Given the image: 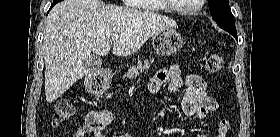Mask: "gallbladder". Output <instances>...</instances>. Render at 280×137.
Masks as SVG:
<instances>
[{
    "instance_id": "obj_1",
    "label": "gallbladder",
    "mask_w": 280,
    "mask_h": 137,
    "mask_svg": "<svg viewBox=\"0 0 280 137\" xmlns=\"http://www.w3.org/2000/svg\"><path fill=\"white\" fill-rule=\"evenodd\" d=\"M101 65V59L94 55H89L83 60V66L92 72L99 70Z\"/></svg>"
}]
</instances>
